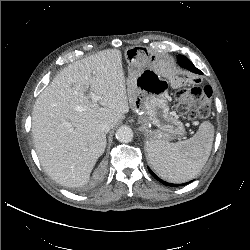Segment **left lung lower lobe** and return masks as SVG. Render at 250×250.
<instances>
[{"label":"left lung lower lobe","mask_w":250,"mask_h":250,"mask_svg":"<svg viewBox=\"0 0 250 250\" xmlns=\"http://www.w3.org/2000/svg\"><path fill=\"white\" fill-rule=\"evenodd\" d=\"M178 63H179V65H180L181 67H184V68H186V69H188V70H190V71H192V72H194V73H198V74H201V73H202V72H201L199 69H197V68L193 65V63H192L188 58H186L185 56L178 55ZM148 170H149V172L153 175V177H154L155 179H157L159 182L163 183L164 185L174 187V186H182V185H186V184H187V183H185V184H172V183L165 182V181L161 180L157 175H155V174L152 172V170H151L150 168H148Z\"/></svg>","instance_id":"1"}]
</instances>
